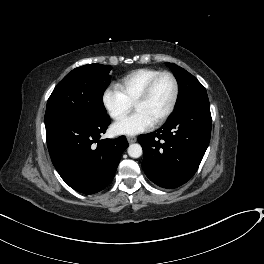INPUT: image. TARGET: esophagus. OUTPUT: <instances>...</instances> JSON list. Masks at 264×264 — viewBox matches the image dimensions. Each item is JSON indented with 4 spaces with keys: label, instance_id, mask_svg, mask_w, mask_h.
<instances>
[{
    "label": "esophagus",
    "instance_id": "34e87169",
    "mask_svg": "<svg viewBox=\"0 0 264 264\" xmlns=\"http://www.w3.org/2000/svg\"><path fill=\"white\" fill-rule=\"evenodd\" d=\"M127 140H128L129 143H134V142H136L137 139H136L135 136H128Z\"/></svg>",
    "mask_w": 264,
    "mask_h": 264
}]
</instances>
